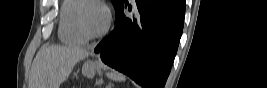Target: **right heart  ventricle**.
Returning <instances> with one entry per match:
<instances>
[{
    "label": "right heart ventricle",
    "instance_id": "obj_1",
    "mask_svg": "<svg viewBox=\"0 0 267 88\" xmlns=\"http://www.w3.org/2000/svg\"><path fill=\"white\" fill-rule=\"evenodd\" d=\"M85 0H67L63 2L59 26V37L67 45L81 46L86 39L80 32L77 25V8Z\"/></svg>",
    "mask_w": 267,
    "mask_h": 88
}]
</instances>
